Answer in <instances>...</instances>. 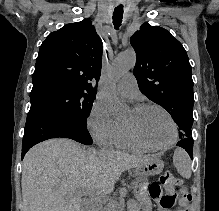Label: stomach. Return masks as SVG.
Returning <instances> with one entry per match:
<instances>
[{"label":"stomach","instance_id":"0dacf381","mask_svg":"<svg viewBox=\"0 0 219 211\" xmlns=\"http://www.w3.org/2000/svg\"><path fill=\"white\" fill-rule=\"evenodd\" d=\"M164 162L159 158H152L148 162L141 164L135 168V176L137 187L139 188L138 197L142 201L143 207H147L149 200L142 194L143 188L146 186L151 176L160 174L163 171Z\"/></svg>","mask_w":219,"mask_h":211}]
</instances>
